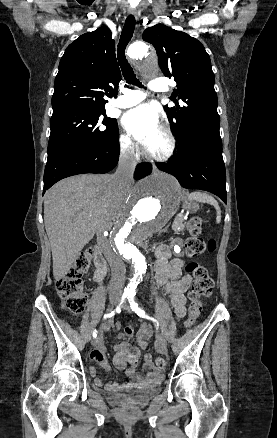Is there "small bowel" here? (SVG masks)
Returning <instances> with one entry per match:
<instances>
[{
    "label": "small bowel",
    "instance_id": "small-bowel-1",
    "mask_svg": "<svg viewBox=\"0 0 277 438\" xmlns=\"http://www.w3.org/2000/svg\"><path fill=\"white\" fill-rule=\"evenodd\" d=\"M177 257H172L173 251L168 245H161L156 251L155 262V287H164L166 292L170 295L171 304L174 309L175 316L182 318L186 313V297L185 292L189 289L192 278L190 275H183L182 269L184 262L181 258L182 252L180 248L176 249ZM119 324V323H117ZM116 324V325H117ZM105 333L110 331L108 326L103 328ZM125 333L130 334L134 332V327L127 325L124 328ZM152 335V329L149 325L143 324L137 333L138 346L133 347L127 341L122 340L123 334L118 333L116 337L121 339L116 347V355L114 357L115 365L123 369L127 364L131 369L127 373V377L134 382L155 386L160 381V373L154 372L152 369L153 358L152 355L146 354L145 372L135 371L140 358V350L147 348V339ZM107 350L106 345L98 343L96 349L92 352V359L97 361L104 368L108 369L109 364L105 356ZM91 374H95V369H90ZM96 384L105 387L107 390H115L118 385L116 383L105 384L102 380L96 379Z\"/></svg>",
    "mask_w": 277,
    "mask_h": 438
}]
</instances>
